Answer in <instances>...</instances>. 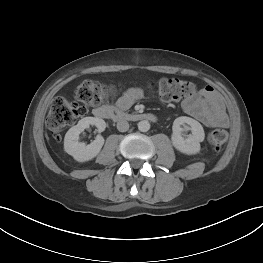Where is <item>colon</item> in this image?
I'll list each match as a JSON object with an SVG mask.
<instances>
[{
	"instance_id": "5ec220e1",
	"label": "colon",
	"mask_w": 263,
	"mask_h": 263,
	"mask_svg": "<svg viewBox=\"0 0 263 263\" xmlns=\"http://www.w3.org/2000/svg\"><path fill=\"white\" fill-rule=\"evenodd\" d=\"M165 102L186 100L196 92L195 85L179 78H162L152 86ZM118 91L114 85H105L87 80L75 90V98L83 105L56 97L47 116V126L54 137H59L64 128L74 124L87 111V106H97ZM228 134L223 129H215L208 135L210 145L219 150L226 143Z\"/></svg>"
}]
</instances>
